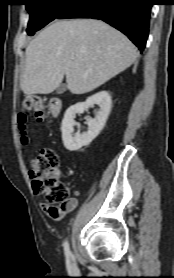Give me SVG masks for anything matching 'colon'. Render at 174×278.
<instances>
[{
  "label": "colon",
  "mask_w": 174,
  "mask_h": 278,
  "mask_svg": "<svg viewBox=\"0 0 174 278\" xmlns=\"http://www.w3.org/2000/svg\"><path fill=\"white\" fill-rule=\"evenodd\" d=\"M45 101L38 96L24 98L18 114L22 143L27 144L26 127L32 117L38 122L46 120ZM58 158L52 149L41 150L31 161L30 176L33 188L44 195L48 204L62 205L70 195L69 188L59 180Z\"/></svg>",
  "instance_id": "5ec220e1"
}]
</instances>
